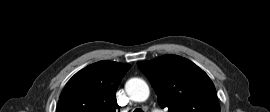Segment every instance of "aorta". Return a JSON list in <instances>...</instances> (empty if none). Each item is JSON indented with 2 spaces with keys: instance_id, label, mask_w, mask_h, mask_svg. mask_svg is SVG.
Returning <instances> with one entry per match:
<instances>
[{
  "instance_id": "1",
  "label": "aorta",
  "mask_w": 270,
  "mask_h": 112,
  "mask_svg": "<svg viewBox=\"0 0 270 112\" xmlns=\"http://www.w3.org/2000/svg\"><path fill=\"white\" fill-rule=\"evenodd\" d=\"M126 92L133 101L143 102L149 97L150 90L144 80L132 78L126 83Z\"/></svg>"
}]
</instances>
